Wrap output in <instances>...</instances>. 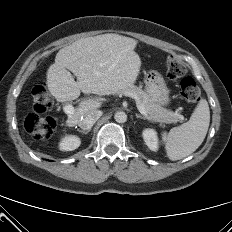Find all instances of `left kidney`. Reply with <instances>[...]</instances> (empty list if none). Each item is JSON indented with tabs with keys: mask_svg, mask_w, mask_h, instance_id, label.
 Here are the masks:
<instances>
[{
	"mask_svg": "<svg viewBox=\"0 0 232 232\" xmlns=\"http://www.w3.org/2000/svg\"><path fill=\"white\" fill-rule=\"evenodd\" d=\"M143 139L150 150H158V137L155 130L145 129L143 131Z\"/></svg>",
	"mask_w": 232,
	"mask_h": 232,
	"instance_id": "left-kidney-1",
	"label": "left kidney"
}]
</instances>
